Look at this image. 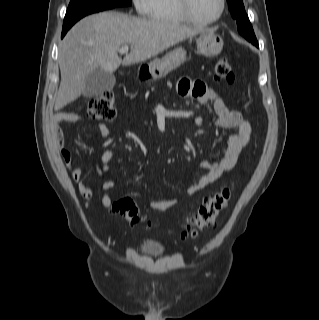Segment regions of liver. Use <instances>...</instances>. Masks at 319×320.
<instances>
[{
	"label": "liver",
	"mask_w": 319,
	"mask_h": 320,
	"mask_svg": "<svg viewBox=\"0 0 319 320\" xmlns=\"http://www.w3.org/2000/svg\"><path fill=\"white\" fill-rule=\"evenodd\" d=\"M206 31L177 23L132 17L118 12L87 16L76 23L59 44L61 83L56 111L80 97L86 77L100 68L109 73L157 56L180 41ZM131 51L122 60L117 52Z\"/></svg>",
	"instance_id": "liver-1"
}]
</instances>
